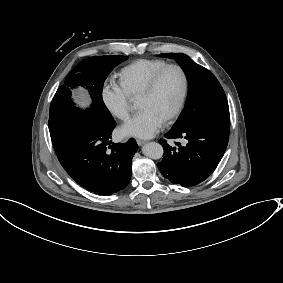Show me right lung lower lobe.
Listing matches in <instances>:
<instances>
[{"mask_svg":"<svg viewBox=\"0 0 283 283\" xmlns=\"http://www.w3.org/2000/svg\"><path fill=\"white\" fill-rule=\"evenodd\" d=\"M114 119L85 129L74 146L58 159L83 188L99 195L123 190L131 178V162L138 149L135 139L111 144Z\"/></svg>","mask_w":283,"mask_h":283,"instance_id":"right-lung-lower-lobe-1","label":"right lung lower lobe"}]
</instances>
